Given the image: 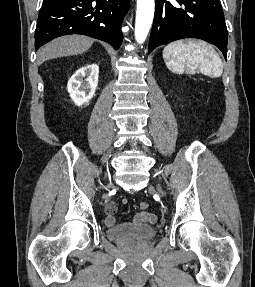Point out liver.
<instances>
[{"label":"liver","mask_w":255,"mask_h":287,"mask_svg":"<svg viewBox=\"0 0 255 287\" xmlns=\"http://www.w3.org/2000/svg\"><path fill=\"white\" fill-rule=\"evenodd\" d=\"M94 40L86 38V36H62L52 40L50 44H46L37 52V64H43L45 60L52 58H62V56H77L83 54L91 48Z\"/></svg>","instance_id":"6515ba94"}]
</instances>
